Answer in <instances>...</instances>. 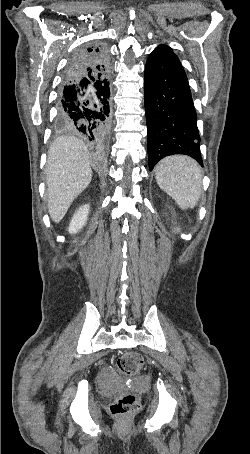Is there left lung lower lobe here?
Wrapping results in <instances>:
<instances>
[{"instance_id": "1", "label": "left lung lower lobe", "mask_w": 250, "mask_h": 454, "mask_svg": "<svg viewBox=\"0 0 250 454\" xmlns=\"http://www.w3.org/2000/svg\"><path fill=\"white\" fill-rule=\"evenodd\" d=\"M144 82L149 170L173 154L191 156L203 166L196 111L179 59L153 51Z\"/></svg>"}]
</instances>
